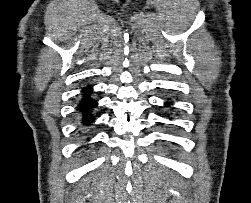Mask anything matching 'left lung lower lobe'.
<instances>
[{
    "instance_id": "left-lung-lower-lobe-1",
    "label": "left lung lower lobe",
    "mask_w": 251,
    "mask_h": 203,
    "mask_svg": "<svg viewBox=\"0 0 251 203\" xmlns=\"http://www.w3.org/2000/svg\"><path fill=\"white\" fill-rule=\"evenodd\" d=\"M170 105V102L165 103V107H168Z\"/></svg>"
}]
</instances>
